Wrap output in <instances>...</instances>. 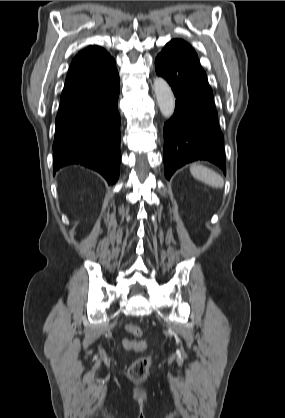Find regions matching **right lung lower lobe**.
<instances>
[{
  "label": "right lung lower lobe",
  "mask_w": 285,
  "mask_h": 418,
  "mask_svg": "<svg viewBox=\"0 0 285 418\" xmlns=\"http://www.w3.org/2000/svg\"><path fill=\"white\" fill-rule=\"evenodd\" d=\"M117 69L97 84L60 100L53 142V170L80 164L114 184L119 177L120 115Z\"/></svg>",
  "instance_id": "obj_1"
}]
</instances>
